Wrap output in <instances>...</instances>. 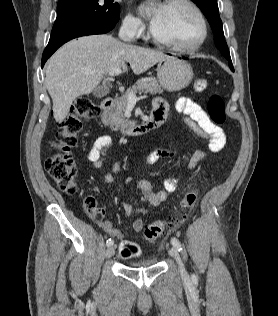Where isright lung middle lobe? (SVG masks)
Listing matches in <instances>:
<instances>
[{"label": "right lung middle lobe", "mask_w": 278, "mask_h": 316, "mask_svg": "<svg viewBox=\"0 0 278 316\" xmlns=\"http://www.w3.org/2000/svg\"><path fill=\"white\" fill-rule=\"evenodd\" d=\"M119 15L114 0H59L52 34L96 22L117 23Z\"/></svg>", "instance_id": "1"}]
</instances>
